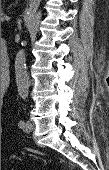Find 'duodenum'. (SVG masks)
Here are the masks:
<instances>
[{
	"label": "duodenum",
	"mask_w": 109,
	"mask_h": 170,
	"mask_svg": "<svg viewBox=\"0 0 109 170\" xmlns=\"http://www.w3.org/2000/svg\"><path fill=\"white\" fill-rule=\"evenodd\" d=\"M2 60L4 62V65L7 66L8 65V57H7L6 49L4 46H2Z\"/></svg>",
	"instance_id": "410a0bca"
}]
</instances>
